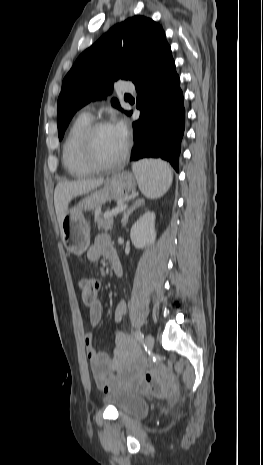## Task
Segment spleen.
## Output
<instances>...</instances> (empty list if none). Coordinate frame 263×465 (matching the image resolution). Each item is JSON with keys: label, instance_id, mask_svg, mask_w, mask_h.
Segmentation results:
<instances>
[{"label": "spleen", "instance_id": "1", "mask_svg": "<svg viewBox=\"0 0 263 465\" xmlns=\"http://www.w3.org/2000/svg\"><path fill=\"white\" fill-rule=\"evenodd\" d=\"M141 193L150 199L163 196L171 186L172 172L160 159H144L132 165Z\"/></svg>", "mask_w": 263, "mask_h": 465}]
</instances>
